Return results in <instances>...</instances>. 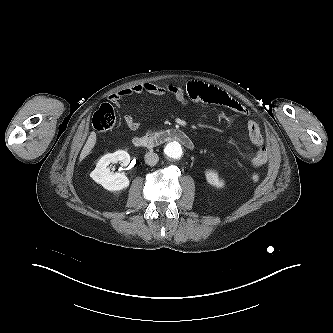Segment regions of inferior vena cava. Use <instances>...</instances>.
I'll return each instance as SVG.
<instances>
[{
    "label": "inferior vena cava",
    "instance_id": "1",
    "mask_svg": "<svg viewBox=\"0 0 333 333\" xmlns=\"http://www.w3.org/2000/svg\"><path fill=\"white\" fill-rule=\"evenodd\" d=\"M144 159L146 164L154 166L159 161V156L154 152H148L145 154Z\"/></svg>",
    "mask_w": 333,
    "mask_h": 333
}]
</instances>
